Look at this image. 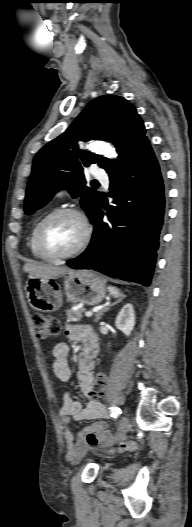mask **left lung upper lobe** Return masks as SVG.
Masks as SVG:
<instances>
[{
  "label": "left lung upper lobe",
  "mask_w": 192,
  "mask_h": 527,
  "mask_svg": "<svg viewBox=\"0 0 192 527\" xmlns=\"http://www.w3.org/2000/svg\"><path fill=\"white\" fill-rule=\"evenodd\" d=\"M146 129L135 107L120 96H100L91 101L71 126L46 144L35 156L24 210L32 214L60 189L66 188L94 222L101 195L85 186L83 168L98 164L109 175L119 171L144 141ZM100 139L112 142L119 158L115 161L80 150L77 142Z\"/></svg>",
  "instance_id": "left-lung-upper-lobe-1"
}]
</instances>
